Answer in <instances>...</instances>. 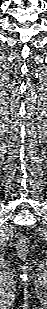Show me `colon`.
<instances>
[{
    "mask_svg": "<svg viewBox=\"0 0 47 309\" xmlns=\"http://www.w3.org/2000/svg\"><path fill=\"white\" fill-rule=\"evenodd\" d=\"M27 239L24 237V236H21L19 239H18V248H19V251L24 254L27 250Z\"/></svg>",
    "mask_w": 47,
    "mask_h": 309,
    "instance_id": "5ec220e1",
    "label": "colon"
}]
</instances>
